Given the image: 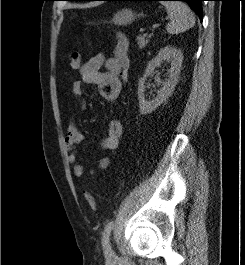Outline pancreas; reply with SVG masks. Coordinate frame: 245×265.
Here are the masks:
<instances>
[{"instance_id":"obj_1","label":"pancreas","mask_w":245,"mask_h":265,"mask_svg":"<svg viewBox=\"0 0 245 265\" xmlns=\"http://www.w3.org/2000/svg\"><path fill=\"white\" fill-rule=\"evenodd\" d=\"M150 36L139 35L137 36V44L139 49H143L149 42Z\"/></svg>"}]
</instances>
